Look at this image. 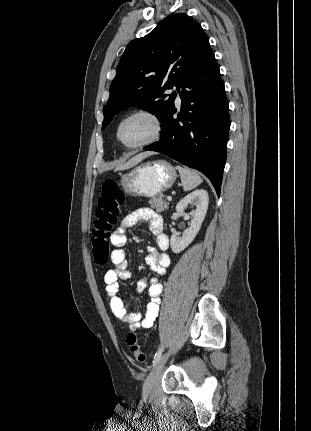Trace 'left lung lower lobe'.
Segmentation results:
<instances>
[{
	"mask_svg": "<svg viewBox=\"0 0 311 431\" xmlns=\"http://www.w3.org/2000/svg\"><path fill=\"white\" fill-rule=\"evenodd\" d=\"M179 88L181 111L168 112L161 139L144 150L163 153L204 173L220 195L230 128L228 102L220 70L211 49L186 75Z\"/></svg>",
	"mask_w": 311,
	"mask_h": 431,
	"instance_id": "0a47b994",
	"label": "left lung lower lobe"
}]
</instances>
